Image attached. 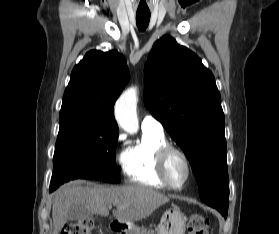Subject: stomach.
Returning a JSON list of instances; mask_svg holds the SVG:
<instances>
[{
	"label": "stomach",
	"instance_id": "obj_1",
	"mask_svg": "<svg viewBox=\"0 0 279 234\" xmlns=\"http://www.w3.org/2000/svg\"><path fill=\"white\" fill-rule=\"evenodd\" d=\"M187 217L178 209H169L164 212L157 227V234H184ZM124 234H146L133 222L120 223Z\"/></svg>",
	"mask_w": 279,
	"mask_h": 234
}]
</instances>
